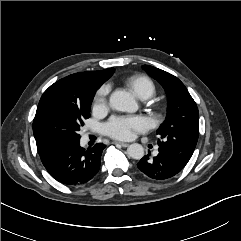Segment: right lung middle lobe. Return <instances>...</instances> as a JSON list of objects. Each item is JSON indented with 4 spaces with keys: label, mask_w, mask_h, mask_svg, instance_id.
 Masks as SVG:
<instances>
[{
    "label": "right lung middle lobe",
    "mask_w": 241,
    "mask_h": 241,
    "mask_svg": "<svg viewBox=\"0 0 241 241\" xmlns=\"http://www.w3.org/2000/svg\"><path fill=\"white\" fill-rule=\"evenodd\" d=\"M93 97L83 104L53 101L34 118L33 132L38 153L80 139L78 131L90 116Z\"/></svg>",
    "instance_id": "obj_1"
}]
</instances>
